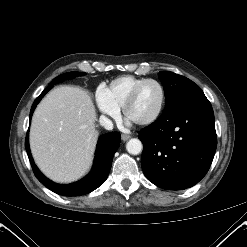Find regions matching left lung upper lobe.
Masks as SVG:
<instances>
[{
    "label": "left lung upper lobe",
    "mask_w": 247,
    "mask_h": 247,
    "mask_svg": "<svg viewBox=\"0 0 247 247\" xmlns=\"http://www.w3.org/2000/svg\"><path fill=\"white\" fill-rule=\"evenodd\" d=\"M158 75L165 91V109L185 96L203 92L197 84L184 76L170 71H161Z\"/></svg>",
    "instance_id": "left-lung-upper-lobe-1"
}]
</instances>
